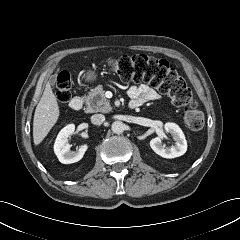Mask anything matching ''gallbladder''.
<instances>
[{
  "mask_svg": "<svg viewBox=\"0 0 240 240\" xmlns=\"http://www.w3.org/2000/svg\"><path fill=\"white\" fill-rule=\"evenodd\" d=\"M55 82H56V79L54 77H52L50 79V84L53 86L55 84Z\"/></svg>",
  "mask_w": 240,
  "mask_h": 240,
  "instance_id": "1",
  "label": "gallbladder"
}]
</instances>
